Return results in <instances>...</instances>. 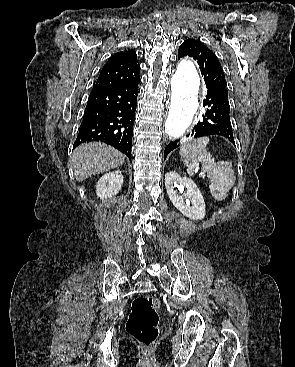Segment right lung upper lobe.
<instances>
[{
  "label": "right lung upper lobe",
  "instance_id": "cb5924a9",
  "mask_svg": "<svg viewBox=\"0 0 295 367\" xmlns=\"http://www.w3.org/2000/svg\"><path fill=\"white\" fill-rule=\"evenodd\" d=\"M137 55L127 50L112 55L102 68L95 85L126 86L140 82Z\"/></svg>",
  "mask_w": 295,
  "mask_h": 367
}]
</instances>
